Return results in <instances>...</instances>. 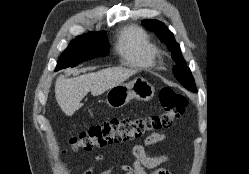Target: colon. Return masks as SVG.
Returning a JSON list of instances; mask_svg holds the SVG:
<instances>
[{
  "mask_svg": "<svg viewBox=\"0 0 249 174\" xmlns=\"http://www.w3.org/2000/svg\"><path fill=\"white\" fill-rule=\"evenodd\" d=\"M161 111L157 114L133 117H114L90 127L69 139L68 147L75 151L91 150L109 144L163 134L182 117L187 98L172 88H163L159 94Z\"/></svg>",
  "mask_w": 249,
  "mask_h": 174,
  "instance_id": "colon-1",
  "label": "colon"
}]
</instances>
